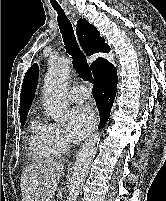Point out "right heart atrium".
<instances>
[{"instance_id":"d8ad5b80","label":"right heart atrium","mask_w":166,"mask_h":201,"mask_svg":"<svg viewBox=\"0 0 166 201\" xmlns=\"http://www.w3.org/2000/svg\"><path fill=\"white\" fill-rule=\"evenodd\" d=\"M54 142L60 152H64L71 148L72 141L68 135L67 130L64 127L54 125L53 126Z\"/></svg>"}]
</instances>
